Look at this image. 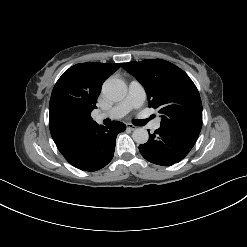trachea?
I'll use <instances>...</instances> for the list:
<instances>
[{
  "label": "trachea",
  "instance_id": "1",
  "mask_svg": "<svg viewBox=\"0 0 247 247\" xmlns=\"http://www.w3.org/2000/svg\"><path fill=\"white\" fill-rule=\"evenodd\" d=\"M150 119H152V117H150ZM148 120H149V119L136 120V121L134 122V124L137 125V126H143V125L146 124V122H148Z\"/></svg>",
  "mask_w": 247,
  "mask_h": 247
}]
</instances>
